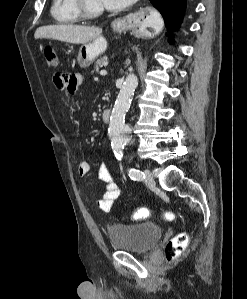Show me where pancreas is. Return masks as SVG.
Wrapping results in <instances>:
<instances>
[{
	"mask_svg": "<svg viewBox=\"0 0 247 299\" xmlns=\"http://www.w3.org/2000/svg\"><path fill=\"white\" fill-rule=\"evenodd\" d=\"M108 60V57L104 56L98 59L94 64V70L99 71V68L103 67Z\"/></svg>",
	"mask_w": 247,
	"mask_h": 299,
	"instance_id": "obj_1",
	"label": "pancreas"
}]
</instances>
